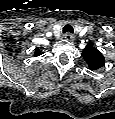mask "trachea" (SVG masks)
Returning <instances> with one entry per match:
<instances>
[{"label": "trachea", "instance_id": "3493384b", "mask_svg": "<svg viewBox=\"0 0 115 119\" xmlns=\"http://www.w3.org/2000/svg\"><path fill=\"white\" fill-rule=\"evenodd\" d=\"M63 33H73V28L70 24H66L63 27Z\"/></svg>", "mask_w": 115, "mask_h": 119}]
</instances>
